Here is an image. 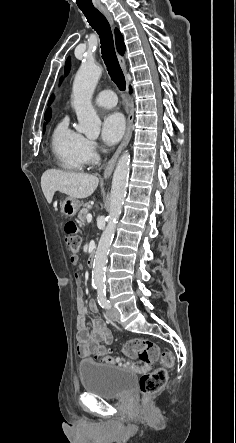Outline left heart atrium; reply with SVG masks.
<instances>
[{
  "mask_svg": "<svg viewBox=\"0 0 236 443\" xmlns=\"http://www.w3.org/2000/svg\"><path fill=\"white\" fill-rule=\"evenodd\" d=\"M125 130V120L121 113L110 112L106 114L101 123V138L107 145L117 143Z\"/></svg>",
  "mask_w": 236,
  "mask_h": 443,
  "instance_id": "left-heart-atrium-1",
  "label": "left heart atrium"
}]
</instances>
